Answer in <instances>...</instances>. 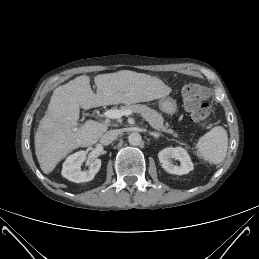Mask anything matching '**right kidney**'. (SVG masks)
<instances>
[{
    "mask_svg": "<svg viewBox=\"0 0 259 259\" xmlns=\"http://www.w3.org/2000/svg\"><path fill=\"white\" fill-rule=\"evenodd\" d=\"M86 159L85 151H78L68 156L63 163L62 176L75 183L88 182L94 179L101 167L100 159H93L87 171H81V165Z\"/></svg>",
    "mask_w": 259,
    "mask_h": 259,
    "instance_id": "obj_1",
    "label": "right kidney"
}]
</instances>
